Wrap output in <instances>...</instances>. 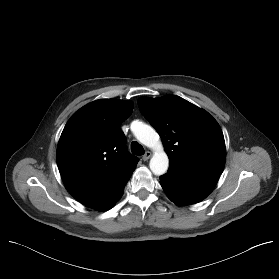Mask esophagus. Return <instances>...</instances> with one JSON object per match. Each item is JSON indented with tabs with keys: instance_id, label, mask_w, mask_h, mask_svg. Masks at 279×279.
<instances>
[{
	"instance_id": "obj_1",
	"label": "esophagus",
	"mask_w": 279,
	"mask_h": 279,
	"mask_svg": "<svg viewBox=\"0 0 279 279\" xmlns=\"http://www.w3.org/2000/svg\"><path fill=\"white\" fill-rule=\"evenodd\" d=\"M151 152L150 151H146L145 154L142 156V159L144 161H147L150 157H151Z\"/></svg>"
}]
</instances>
